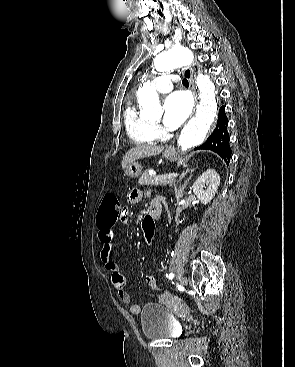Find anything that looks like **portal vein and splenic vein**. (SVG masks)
I'll return each instance as SVG.
<instances>
[{
	"instance_id": "portal-vein-and-splenic-vein-1",
	"label": "portal vein and splenic vein",
	"mask_w": 295,
	"mask_h": 367,
	"mask_svg": "<svg viewBox=\"0 0 295 367\" xmlns=\"http://www.w3.org/2000/svg\"><path fill=\"white\" fill-rule=\"evenodd\" d=\"M170 176H171V174L169 176L168 175H161V176H157L156 179L167 178V177H170ZM174 176H176V175H174Z\"/></svg>"
}]
</instances>
